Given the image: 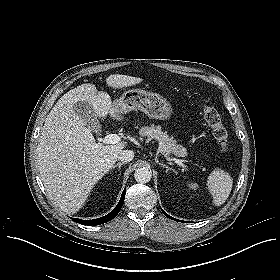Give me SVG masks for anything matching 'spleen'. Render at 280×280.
Masks as SVG:
<instances>
[{
    "label": "spleen",
    "instance_id": "spleen-1",
    "mask_svg": "<svg viewBox=\"0 0 280 280\" xmlns=\"http://www.w3.org/2000/svg\"><path fill=\"white\" fill-rule=\"evenodd\" d=\"M232 185L233 179L229 173L221 168H215L212 171L208 178L207 186L215 205H221L227 200L232 190ZM189 187L196 189L198 185L196 183H191Z\"/></svg>",
    "mask_w": 280,
    "mask_h": 280
}]
</instances>
